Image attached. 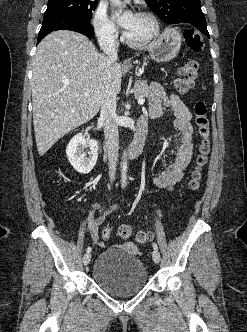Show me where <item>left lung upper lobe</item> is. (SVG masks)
Listing matches in <instances>:
<instances>
[{"mask_svg": "<svg viewBox=\"0 0 247 332\" xmlns=\"http://www.w3.org/2000/svg\"><path fill=\"white\" fill-rule=\"evenodd\" d=\"M150 9L165 23H186L195 28L206 22L200 0H145Z\"/></svg>", "mask_w": 247, "mask_h": 332, "instance_id": "left-lung-upper-lobe-1", "label": "left lung upper lobe"}]
</instances>
